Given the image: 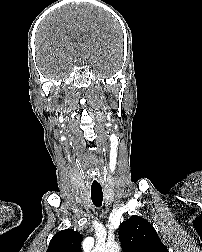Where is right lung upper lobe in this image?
Wrapping results in <instances>:
<instances>
[{
  "label": "right lung upper lobe",
  "instance_id": "1",
  "mask_svg": "<svg viewBox=\"0 0 202 252\" xmlns=\"http://www.w3.org/2000/svg\"><path fill=\"white\" fill-rule=\"evenodd\" d=\"M82 236L72 229L61 230L51 239L47 252H82Z\"/></svg>",
  "mask_w": 202,
  "mask_h": 252
}]
</instances>
